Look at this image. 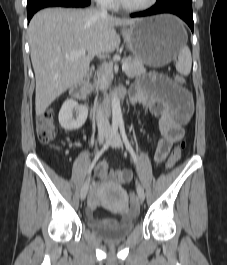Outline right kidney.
Segmentation results:
<instances>
[{"label":"right kidney","instance_id":"right-kidney-1","mask_svg":"<svg viewBox=\"0 0 227 265\" xmlns=\"http://www.w3.org/2000/svg\"><path fill=\"white\" fill-rule=\"evenodd\" d=\"M73 110L78 112L76 118H73ZM88 116L86 106L78 105L74 100H66L59 112V123L62 128L68 131L77 130L83 126Z\"/></svg>","mask_w":227,"mask_h":265}]
</instances>
